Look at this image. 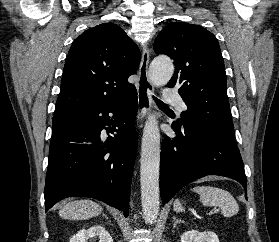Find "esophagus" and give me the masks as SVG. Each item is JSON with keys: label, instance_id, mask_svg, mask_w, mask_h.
I'll return each instance as SVG.
<instances>
[{"label": "esophagus", "instance_id": "obj_1", "mask_svg": "<svg viewBox=\"0 0 279 242\" xmlns=\"http://www.w3.org/2000/svg\"><path fill=\"white\" fill-rule=\"evenodd\" d=\"M149 49L145 47L142 52L141 63L139 67V78L137 83L138 92V114L137 126L142 127V122L146 118L151 106V94L154 91L153 83L148 75Z\"/></svg>", "mask_w": 279, "mask_h": 242}]
</instances>
